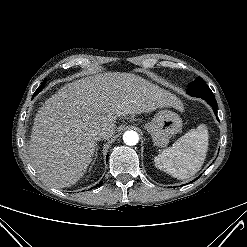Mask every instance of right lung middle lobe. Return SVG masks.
I'll use <instances>...</instances> for the list:
<instances>
[{
  "label": "right lung middle lobe",
  "instance_id": "dd1d6c3e",
  "mask_svg": "<svg viewBox=\"0 0 247 247\" xmlns=\"http://www.w3.org/2000/svg\"><path fill=\"white\" fill-rule=\"evenodd\" d=\"M45 83H43L40 87H38L37 91L40 92L41 89H42V86L44 85Z\"/></svg>",
  "mask_w": 247,
  "mask_h": 247
}]
</instances>
